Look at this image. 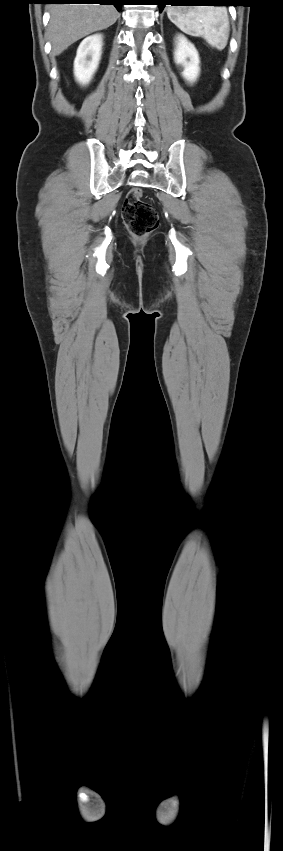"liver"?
Returning <instances> with one entry per match:
<instances>
[{
    "label": "liver",
    "mask_w": 283,
    "mask_h": 851,
    "mask_svg": "<svg viewBox=\"0 0 283 851\" xmlns=\"http://www.w3.org/2000/svg\"><path fill=\"white\" fill-rule=\"evenodd\" d=\"M48 37L52 55H60L81 38L104 30L118 19L112 5L100 4H57L50 6Z\"/></svg>",
    "instance_id": "6515ba94"
}]
</instances>
